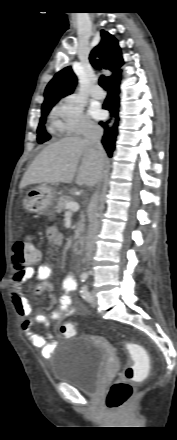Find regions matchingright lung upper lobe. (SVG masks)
Instances as JSON below:
<instances>
[{
    "label": "right lung upper lobe",
    "mask_w": 177,
    "mask_h": 440,
    "mask_svg": "<svg viewBox=\"0 0 177 440\" xmlns=\"http://www.w3.org/2000/svg\"><path fill=\"white\" fill-rule=\"evenodd\" d=\"M95 57H99L102 60L103 67L112 72V75L107 77V80L115 76L123 65V59L117 40L104 30H101L100 43L91 51L89 57L93 66L95 65ZM76 83L77 78L72 68L70 66L63 68L47 85L44 93V103L58 102L60 98L71 94Z\"/></svg>",
    "instance_id": "cb5924a9"
}]
</instances>
